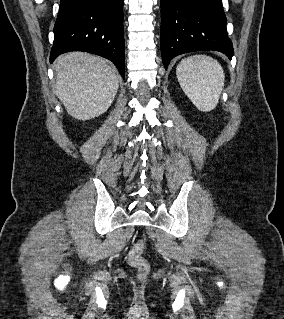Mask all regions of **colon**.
<instances>
[{
    "instance_id": "obj_1",
    "label": "colon",
    "mask_w": 284,
    "mask_h": 319,
    "mask_svg": "<svg viewBox=\"0 0 284 319\" xmlns=\"http://www.w3.org/2000/svg\"><path fill=\"white\" fill-rule=\"evenodd\" d=\"M145 250V242H137L129 252V262L130 264L137 268L141 276H144L149 271V263L143 257Z\"/></svg>"
}]
</instances>
